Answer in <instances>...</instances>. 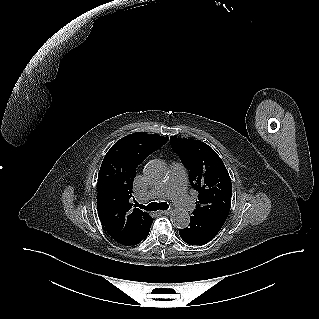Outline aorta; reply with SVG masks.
<instances>
[{"label":"aorta","instance_id":"obj_1","mask_svg":"<svg viewBox=\"0 0 319 319\" xmlns=\"http://www.w3.org/2000/svg\"><path fill=\"white\" fill-rule=\"evenodd\" d=\"M145 177L152 183L163 182L168 176L166 164L160 160H152L144 168ZM172 225L176 228H186L190 223L189 213L185 210H174L170 215Z\"/></svg>","mask_w":319,"mask_h":319}]
</instances>
